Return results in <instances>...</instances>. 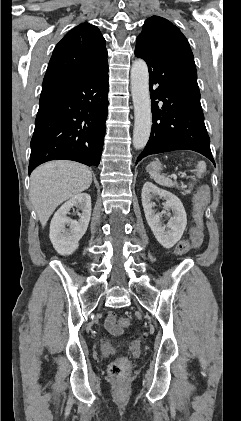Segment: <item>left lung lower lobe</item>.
I'll use <instances>...</instances> for the list:
<instances>
[{"mask_svg":"<svg viewBox=\"0 0 241 421\" xmlns=\"http://www.w3.org/2000/svg\"><path fill=\"white\" fill-rule=\"evenodd\" d=\"M135 55L148 65L153 121L150 139L137 162L151 154L193 150L215 164L193 57L159 49L141 39L136 41Z\"/></svg>","mask_w":241,"mask_h":421,"instance_id":"1","label":"left lung lower lobe"}]
</instances>
